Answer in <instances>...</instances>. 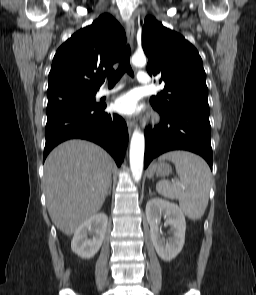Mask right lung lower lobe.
I'll use <instances>...</instances> for the list:
<instances>
[{
    "instance_id": "obj_1",
    "label": "right lung lower lobe",
    "mask_w": 256,
    "mask_h": 295,
    "mask_svg": "<svg viewBox=\"0 0 256 295\" xmlns=\"http://www.w3.org/2000/svg\"><path fill=\"white\" fill-rule=\"evenodd\" d=\"M106 104L85 105L74 100L48 99L43 160L59 143L81 138L106 149L118 166L128 143V129L118 115L104 112Z\"/></svg>"
}]
</instances>
